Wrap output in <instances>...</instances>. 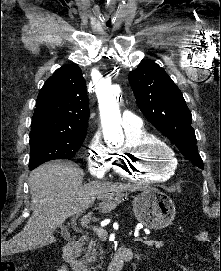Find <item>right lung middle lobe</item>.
<instances>
[{
  "instance_id": "right-lung-middle-lobe-1",
  "label": "right lung middle lobe",
  "mask_w": 221,
  "mask_h": 271,
  "mask_svg": "<svg viewBox=\"0 0 221 271\" xmlns=\"http://www.w3.org/2000/svg\"><path fill=\"white\" fill-rule=\"evenodd\" d=\"M86 133L31 131L29 168L33 170L40 164L54 159H71L81 147Z\"/></svg>"
}]
</instances>
